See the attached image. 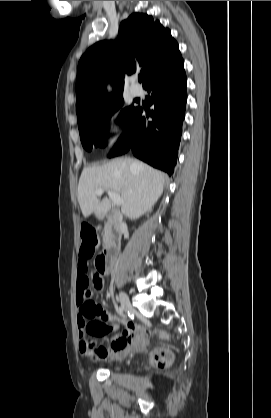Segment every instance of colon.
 I'll return each mask as SVG.
<instances>
[{"instance_id":"obj_1","label":"colon","mask_w":271,"mask_h":418,"mask_svg":"<svg viewBox=\"0 0 271 418\" xmlns=\"http://www.w3.org/2000/svg\"><path fill=\"white\" fill-rule=\"evenodd\" d=\"M98 239L96 228L91 224H84L81 228V247H80V258L82 260H89L95 254L97 249ZM96 269H99L98 262L96 261ZM172 362V355L167 350L156 352L152 356V363L159 368H166Z\"/></svg>"}]
</instances>
